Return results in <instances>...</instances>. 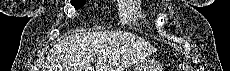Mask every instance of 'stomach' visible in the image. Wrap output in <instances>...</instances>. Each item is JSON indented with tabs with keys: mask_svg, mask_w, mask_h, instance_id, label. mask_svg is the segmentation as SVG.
<instances>
[{
	"mask_svg": "<svg viewBox=\"0 0 230 71\" xmlns=\"http://www.w3.org/2000/svg\"><path fill=\"white\" fill-rule=\"evenodd\" d=\"M157 66L153 62H144L142 64L136 65L133 68V71H157Z\"/></svg>",
	"mask_w": 230,
	"mask_h": 71,
	"instance_id": "0dacf381",
	"label": "stomach"
}]
</instances>
